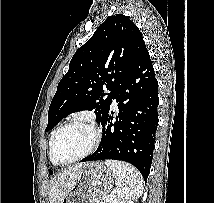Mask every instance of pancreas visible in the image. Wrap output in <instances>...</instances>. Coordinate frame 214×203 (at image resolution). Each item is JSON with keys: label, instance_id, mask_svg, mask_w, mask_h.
<instances>
[{"label": "pancreas", "instance_id": "pancreas-1", "mask_svg": "<svg viewBox=\"0 0 214 203\" xmlns=\"http://www.w3.org/2000/svg\"><path fill=\"white\" fill-rule=\"evenodd\" d=\"M106 198H107V196L103 199L102 203H116V201L114 199L107 200Z\"/></svg>", "mask_w": 214, "mask_h": 203}]
</instances>
